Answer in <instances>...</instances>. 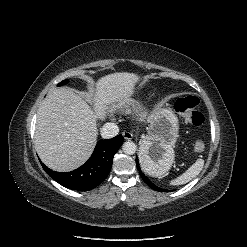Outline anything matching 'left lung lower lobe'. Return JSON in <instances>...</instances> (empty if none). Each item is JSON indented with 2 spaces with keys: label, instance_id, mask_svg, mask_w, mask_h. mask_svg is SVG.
<instances>
[{
  "label": "left lung lower lobe",
  "instance_id": "obj_1",
  "mask_svg": "<svg viewBox=\"0 0 247 247\" xmlns=\"http://www.w3.org/2000/svg\"><path fill=\"white\" fill-rule=\"evenodd\" d=\"M136 165H137L138 171H139V173H140L142 179L145 181V183H146L149 187H151L152 189L161 192L162 189L158 188L154 183H152V182L144 175V173H142L137 158H136Z\"/></svg>",
  "mask_w": 247,
  "mask_h": 247
}]
</instances>
